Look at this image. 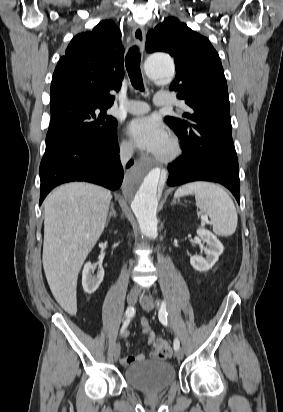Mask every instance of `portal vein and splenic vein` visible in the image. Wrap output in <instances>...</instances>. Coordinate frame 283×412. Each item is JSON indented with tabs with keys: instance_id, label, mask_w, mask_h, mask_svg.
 I'll use <instances>...</instances> for the list:
<instances>
[{
	"instance_id": "1",
	"label": "portal vein and splenic vein",
	"mask_w": 283,
	"mask_h": 412,
	"mask_svg": "<svg viewBox=\"0 0 283 412\" xmlns=\"http://www.w3.org/2000/svg\"><path fill=\"white\" fill-rule=\"evenodd\" d=\"M202 223L205 224L208 222V217L207 216H202L201 217Z\"/></svg>"
}]
</instances>
